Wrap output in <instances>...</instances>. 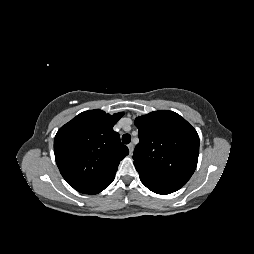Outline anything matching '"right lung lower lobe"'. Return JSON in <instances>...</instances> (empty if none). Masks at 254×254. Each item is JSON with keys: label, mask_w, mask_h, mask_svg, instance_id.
<instances>
[{"label": "right lung lower lobe", "mask_w": 254, "mask_h": 254, "mask_svg": "<svg viewBox=\"0 0 254 254\" xmlns=\"http://www.w3.org/2000/svg\"><path fill=\"white\" fill-rule=\"evenodd\" d=\"M113 180H114V178L111 179V180H109V181L106 182L105 184H103V185H101V186H99V187H97V188H95V189H93V190H91V191L84 192V193H85V194H90V195L97 194V193L103 191L108 185H110V184L112 183Z\"/></svg>", "instance_id": "1"}]
</instances>
